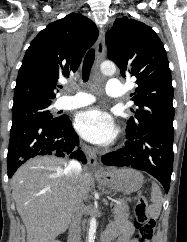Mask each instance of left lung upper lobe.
Listing matches in <instances>:
<instances>
[{"instance_id":"1","label":"left lung upper lobe","mask_w":187,"mask_h":242,"mask_svg":"<svg viewBox=\"0 0 187 242\" xmlns=\"http://www.w3.org/2000/svg\"><path fill=\"white\" fill-rule=\"evenodd\" d=\"M107 53L121 75L136 77L131 94L135 118L127 122V136L148 132H173V87L164 46L146 24L132 18H117L106 33Z\"/></svg>"}]
</instances>
